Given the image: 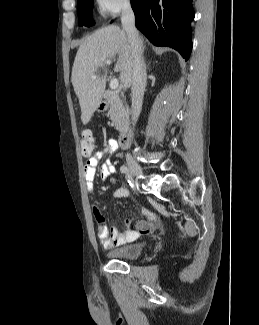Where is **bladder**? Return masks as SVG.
Listing matches in <instances>:
<instances>
[{
    "mask_svg": "<svg viewBox=\"0 0 259 325\" xmlns=\"http://www.w3.org/2000/svg\"><path fill=\"white\" fill-rule=\"evenodd\" d=\"M142 250L143 244L135 242L115 247L107 252V256L114 260H134L141 255Z\"/></svg>",
    "mask_w": 259,
    "mask_h": 325,
    "instance_id": "31cf9c89",
    "label": "bladder"
}]
</instances>
